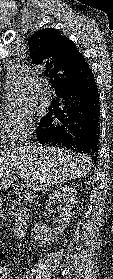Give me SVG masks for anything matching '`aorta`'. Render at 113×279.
Listing matches in <instances>:
<instances>
[{
  "label": "aorta",
  "instance_id": "obj_1",
  "mask_svg": "<svg viewBox=\"0 0 113 279\" xmlns=\"http://www.w3.org/2000/svg\"><path fill=\"white\" fill-rule=\"evenodd\" d=\"M10 96L14 99L18 97V90L17 88H11L10 89Z\"/></svg>",
  "mask_w": 113,
  "mask_h": 279
}]
</instances>
